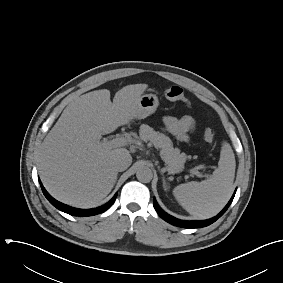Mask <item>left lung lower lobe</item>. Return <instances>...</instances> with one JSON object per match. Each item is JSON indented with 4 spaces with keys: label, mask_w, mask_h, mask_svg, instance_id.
<instances>
[{
    "label": "left lung lower lobe",
    "mask_w": 283,
    "mask_h": 283,
    "mask_svg": "<svg viewBox=\"0 0 283 283\" xmlns=\"http://www.w3.org/2000/svg\"><path fill=\"white\" fill-rule=\"evenodd\" d=\"M234 196H235V193L233 194L232 198L230 199L228 204L225 206V208L217 216H215L211 219H208V220H203V221H182V220L174 218V217L170 216L169 214H167L166 212H164L159 207V205L157 204L155 199L153 200V205H154L155 210L159 214V216L172 225L183 227V228H200V227H206V226L212 224L219 217H221L225 213V211L228 209V207L230 206L231 202L233 201Z\"/></svg>",
    "instance_id": "0a47b994"
}]
</instances>
